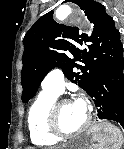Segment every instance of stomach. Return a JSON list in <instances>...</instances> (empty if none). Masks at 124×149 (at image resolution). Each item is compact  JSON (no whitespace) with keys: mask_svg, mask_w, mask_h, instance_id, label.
Returning <instances> with one entry per match:
<instances>
[{"mask_svg":"<svg viewBox=\"0 0 124 149\" xmlns=\"http://www.w3.org/2000/svg\"><path fill=\"white\" fill-rule=\"evenodd\" d=\"M101 125L102 124L96 125L82 136L76 138V140L73 142V145L66 149H93V145L97 141L95 137V135L97 134L96 130ZM121 137L122 135L120 134V137H117L116 139H120Z\"/></svg>","mask_w":124,"mask_h":149,"instance_id":"obj_1","label":"stomach"}]
</instances>
